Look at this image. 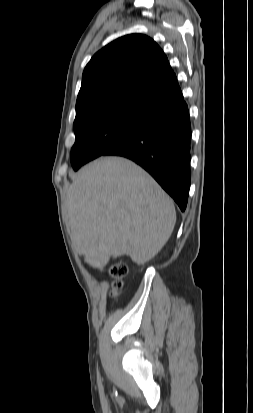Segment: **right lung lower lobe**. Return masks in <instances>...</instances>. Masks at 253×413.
<instances>
[{"mask_svg":"<svg viewBox=\"0 0 253 413\" xmlns=\"http://www.w3.org/2000/svg\"><path fill=\"white\" fill-rule=\"evenodd\" d=\"M190 141L189 110L183 101L155 111L141 130L104 155L123 156L139 164L184 211L191 178Z\"/></svg>","mask_w":253,"mask_h":413,"instance_id":"right-lung-lower-lobe-1","label":"right lung lower lobe"}]
</instances>
